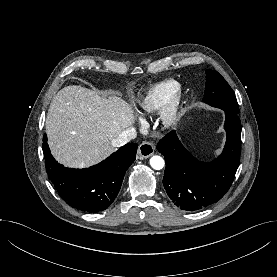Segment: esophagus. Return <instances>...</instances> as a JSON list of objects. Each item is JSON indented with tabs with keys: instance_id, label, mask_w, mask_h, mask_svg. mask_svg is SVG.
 Masks as SVG:
<instances>
[{
	"instance_id": "1",
	"label": "esophagus",
	"mask_w": 277,
	"mask_h": 277,
	"mask_svg": "<svg viewBox=\"0 0 277 277\" xmlns=\"http://www.w3.org/2000/svg\"><path fill=\"white\" fill-rule=\"evenodd\" d=\"M155 150V145L152 142H143L139 148H138V158L139 159H146L148 157H150Z\"/></svg>"
}]
</instances>
